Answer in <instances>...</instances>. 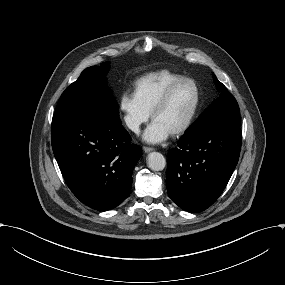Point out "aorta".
Segmentation results:
<instances>
[{
    "label": "aorta",
    "mask_w": 285,
    "mask_h": 285,
    "mask_svg": "<svg viewBox=\"0 0 285 285\" xmlns=\"http://www.w3.org/2000/svg\"><path fill=\"white\" fill-rule=\"evenodd\" d=\"M148 167L153 171H161L166 166L165 157L159 152H151L147 157Z\"/></svg>",
    "instance_id": "1"
}]
</instances>
